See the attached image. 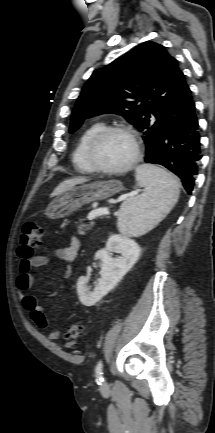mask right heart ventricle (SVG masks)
<instances>
[{
  "instance_id": "1",
  "label": "right heart ventricle",
  "mask_w": 215,
  "mask_h": 433,
  "mask_svg": "<svg viewBox=\"0 0 215 433\" xmlns=\"http://www.w3.org/2000/svg\"><path fill=\"white\" fill-rule=\"evenodd\" d=\"M104 127L105 124L102 121H96L90 124L81 134L72 156L74 168L78 172H94L86 159V148L91 138Z\"/></svg>"
}]
</instances>
